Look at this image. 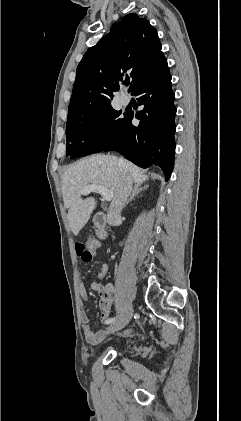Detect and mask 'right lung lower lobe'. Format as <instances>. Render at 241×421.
Instances as JSON below:
<instances>
[{
	"label": "right lung lower lobe",
	"mask_w": 241,
	"mask_h": 421,
	"mask_svg": "<svg viewBox=\"0 0 241 421\" xmlns=\"http://www.w3.org/2000/svg\"><path fill=\"white\" fill-rule=\"evenodd\" d=\"M132 93L139 96V105H144L143 110L136 114V118L140 120L139 125L132 124L133 114L128 113L125 129L103 151H118L142 168L159 166L168 180L174 163L176 108L165 57Z\"/></svg>",
	"instance_id": "obj_1"
}]
</instances>
